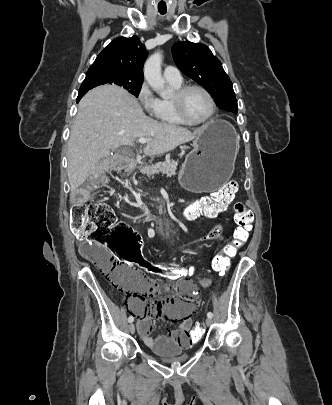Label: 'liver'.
<instances>
[{"mask_svg": "<svg viewBox=\"0 0 332 405\" xmlns=\"http://www.w3.org/2000/svg\"><path fill=\"white\" fill-rule=\"evenodd\" d=\"M183 127L162 123L145 115L135 98L114 85L90 90L79 102L78 113L68 140V179L71 192L98 170L101 159L108 162L110 151L133 145L146 138V156L165 154L177 146L196 139Z\"/></svg>", "mask_w": 332, "mask_h": 405, "instance_id": "6515ba94", "label": "liver"}]
</instances>
